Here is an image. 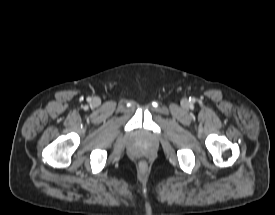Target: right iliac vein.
Listing matches in <instances>:
<instances>
[{"mask_svg": "<svg viewBox=\"0 0 275 215\" xmlns=\"http://www.w3.org/2000/svg\"><path fill=\"white\" fill-rule=\"evenodd\" d=\"M92 102H93L94 105H99L100 104V99L99 98H94Z\"/></svg>", "mask_w": 275, "mask_h": 215, "instance_id": "1", "label": "right iliac vein"}]
</instances>
